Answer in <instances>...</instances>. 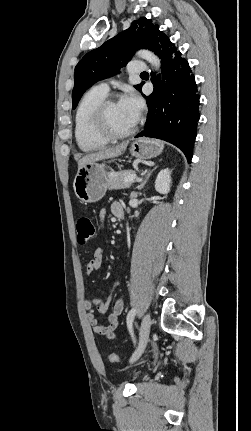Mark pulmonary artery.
I'll use <instances>...</instances> for the list:
<instances>
[{
  "label": "pulmonary artery",
  "instance_id": "e3ab8cb5",
  "mask_svg": "<svg viewBox=\"0 0 251 431\" xmlns=\"http://www.w3.org/2000/svg\"><path fill=\"white\" fill-rule=\"evenodd\" d=\"M146 69H147V65L144 62H140V61L132 62L129 65V72L131 74L142 73V72L146 71ZM96 88H98L101 91H104L106 93L108 92V89H109L108 85L106 83H100L96 86Z\"/></svg>",
  "mask_w": 251,
  "mask_h": 431
}]
</instances>
